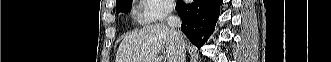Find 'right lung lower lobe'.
<instances>
[{
	"label": "right lung lower lobe",
	"instance_id": "1",
	"mask_svg": "<svg viewBox=\"0 0 331 62\" xmlns=\"http://www.w3.org/2000/svg\"><path fill=\"white\" fill-rule=\"evenodd\" d=\"M222 0H193L186 4L176 3V10L182 19L181 30L187 38L200 48L213 33L219 16Z\"/></svg>",
	"mask_w": 331,
	"mask_h": 62
}]
</instances>
